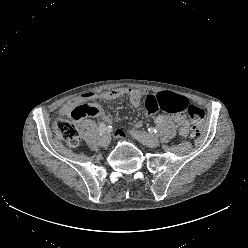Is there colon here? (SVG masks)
<instances>
[{"mask_svg": "<svg viewBox=\"0 0 248 248\" xmlns=\"http://www.w3.org/2000/svg\"><path fill=\"white\" fill-rule=\"evenodd\" d=\"M145 110L148 115L159 111L170 114L186 113L191 121L190 135L197 137L205 125V113L196 106L189 104L188 100L180 95L170 92H160L150 95L145 100ZM91 113L89 105H79L71 112L74 120H80ZM54 135L65 141L68 145L76 147L79 144V133L76 125L68 120L58 119L52 124Z\"/></svg>", "mask_w": 248, "mask_h": 248, "instance_id": "1", "label": "colon"}]
</instances>
